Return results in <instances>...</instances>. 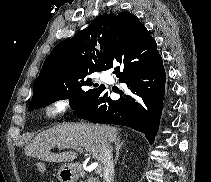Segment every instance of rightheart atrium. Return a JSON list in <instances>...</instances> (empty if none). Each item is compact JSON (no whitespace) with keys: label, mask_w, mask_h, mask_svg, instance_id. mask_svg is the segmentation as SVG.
Segmentation results:
<instances>
[{"label":"right heart atrium","mask_w":211,"mask_h":182,"mask_svg":"<svg viewBox=\"0 0 211 182\" xmlns=\"http://www.w3.org/2000/svg\"><path fill=\"white\" fill-rule=\"evenodd\" d=\"M70 107V101L67 98H62L54 101L51 104V111L55 116H60Z\"/></svg>","instance_id":"right-heart-atrium-1"}]
</instances>
